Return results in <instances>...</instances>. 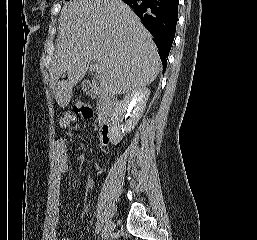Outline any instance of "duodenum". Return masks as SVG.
I'll use <instances>...</instances> for the list:
<instances>
[{"mask_svg":"<svg viewBox=\"0 0 257 240\" xmlns=\"http://www.w3.org/2000/svg\"><path fill=\"white\" fill-rule=\"evenodd\" d=\"M84 90L88 95L100 99L102 103L100 141L103 145H105L110 140L112 115L116 108L117 100L113 95L103 91L90 82L84 83Z\"/></svg>","mask_w":257,"mask_h":240,"instance_id":"obj_1","label":"duodenum"}]
</instances>
